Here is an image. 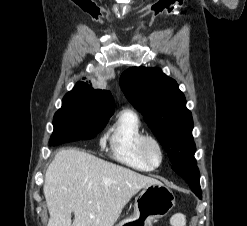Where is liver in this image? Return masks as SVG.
Wrapping results in <instances>:
<instances>
[{"label": "liver", "instance_id": "liver-1", "mask_svg": "<svg viewBox=\"0 0 247 226\" xmlns=\"http://www.w3.org/2000/svg\"><path fill=\"white\" fill-rule=\"evenodd\" d=\"M154 183L159 181L84 151L62 149L45 174L48 226H113L130 199Z\"/></svg>", "mask_w": 247, "mask_h": 226}]
</instances>
